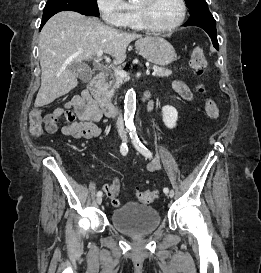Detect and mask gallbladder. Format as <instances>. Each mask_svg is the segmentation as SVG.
<instances>
[{
	"label": "gallbladder",
	"instance_id": "1",
	"mask_svg": "<svg viewBox=\"0 0 261 273\" xmlns=\"http://www.w3.org/2000/svg\"><path fill=\"white\" fill-rule=\"evenodd\" d=\"M68 69L73 72L82 82L86 83L92 78L93 72L82 63H72Z\"/></svg>",
	"mask_w": 261,
	"mask_h": 273
}]
</instances>
